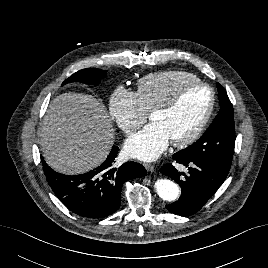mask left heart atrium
Instances as JSON below:
<instances>
[{
  "label": "left heart atrium",
  "mask_w": 268,
  "mask_h": 268,
  "mask_svg": "<svg viewBox=\"0 0 268 268\" xmlns=\"http://www.w3.org/2000/svg\"><path fill=\"white\" fill-rule=\"evenodd\" d=\"M169 142L170 139L161 125L152 122L126 140L124 151L129 158L153 161L163 153Z\"/></svg>",
  "instance_id": "1"
}]
</instances>
